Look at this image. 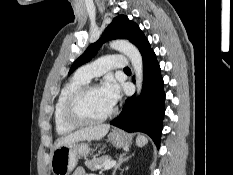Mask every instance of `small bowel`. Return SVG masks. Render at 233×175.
I'll list each match as a JSON object with an SVG mask.
<instances>
[{"instance_id":"1","label":"small bowel","mask_w":233,"mask_h":175,"mask_svg":"<svg viewBox=\"0 0 233 175\" xmlns=\"http://www.w3.org/2000/svg\"><path fill=\"white\" fill-rule=\"evenodd\" d=\"M72 175H96V174H89L83 168H76Z\"/></svg>"}]
</instances>
